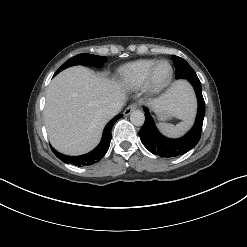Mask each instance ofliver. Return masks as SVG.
I'll return each instance as SVG.
<instances>
[{
	"mask_svg": "<svg viewBox=\"0 0 247 247\" xmlns=\"http://www.w3.org/2000/svg\"><path fill=\"white\" fill-rule=\"evenodd\" d=\"M124 100L125 90L119 83L86 67L62 71L51 81L46 95L44 121L51 144L67 155L89 152L99 143L109 120L105 109ZM149 104L155 110L167 108L182 120H191L195 112L193 94L183 81L173 83Z\"/></svg>",
	"mask_w": 247,
	"mask_h": 247,
	"instance_id": "obj_1",
	"label": "liver"
}]
</instances>
